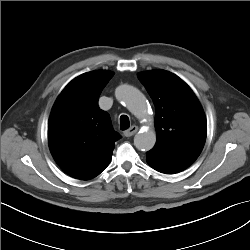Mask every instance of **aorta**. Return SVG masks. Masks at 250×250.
Segmentation results:
<instances>
[{
	"label": "aorta",
	"instance_id": "1",
	"mask_svg": "<svg viewBox=\"0 0 250 250\" xmlns=\"http://www.w3.org/2000/svg\"><path fill=\"white\" fill-rule=\"evenodd\" d=\"M116 98L139 119H150L147 102L143 94L133 86L120 85L115 91ZM156 142V133L152 129L141 130L134 137V145L138 150L149 151Z\"/></svg>",
	"mask_w": 250,
	"mask_h": 250
}]
</instances>
